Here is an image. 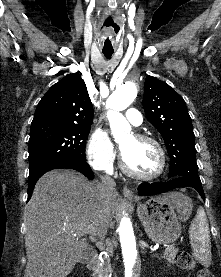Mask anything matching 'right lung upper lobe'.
<instances>
[{
	"instance_id": "1",
	"label": "right lung upper lobe",
	"mask_w": 221,
	"mask_h": 277,
	"mask_svg": "<svg viewBox=\"0 0 221 277\" xmlns=\"http://www.w3.org/2000/svg\"><path fill=\"white\" fill-rule=\"evenodd\" d=\"M93 106L79 73L65 76L54 84L39 102L32 126H91Z\"/></svg>"
}]
</instances>
